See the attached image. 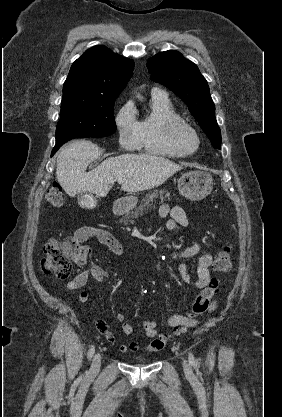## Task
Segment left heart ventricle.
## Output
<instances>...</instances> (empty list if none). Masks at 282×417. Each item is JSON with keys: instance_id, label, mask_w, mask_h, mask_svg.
<instances>
[{"instance_id": "obj_1", "label": "left heart ventricle", "mask_w": 282, "mask_h": 417, "mask_svg": "<svg viewBox=\"0 0 282 417\" xmlns=\"http://www.w3.org/2000/svg\"><path fill=\"white\" fill-rule=\"evenodd\" d=\"M160 130H161V132H162V134H163L164 136H167V134H168V127H167V123H166V121H165V120H162V121L160 122ZM184 144H185V146H186L188 149L193 150V149L195 148V146H196V140H195V138H194V137H192V136H190V135H187V136L184 138Z\"/></svg>"}]
</instances>
